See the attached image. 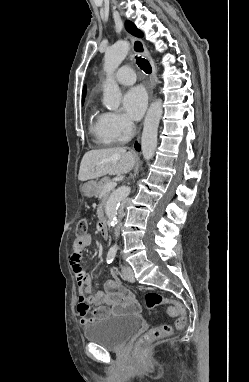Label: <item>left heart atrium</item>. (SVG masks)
Returning <instances> with one entry per match:
<instances>
[{"instance_id":"1","label":"left heart atrium","mask_w":249,"mask_h":382,"mask_svg":"<svg viewBox=\"0 0 249 382\" xmlns=\"http://www.w3.org/2000/svg\"><path fill=\"white\" fill-rule=\"evenodd\" d=\"M147 107V95L143 88L134 87L128 90L123 98L125 114L131 120H139Z\"/></svg>"}]
</instances>
